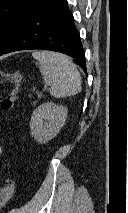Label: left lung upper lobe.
<instances>
[{"instance_id":"left-lung-upper-lobe-1","label":"left lung upper lobe","mask_w":128,"mask_h":213,"mask_svg":"<svg viewBox=\"0 0 128 213\" xmlns=\"http://www.w3.org/2000/svg\"><path fill=\"white\" fill-rule=\"evenodd\" d=\"M39 0H0V53Z\"/></svg>"}]
</instances>
